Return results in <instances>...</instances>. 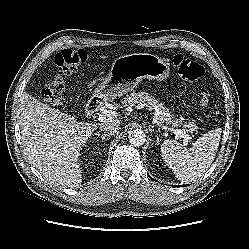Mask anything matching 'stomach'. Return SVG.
I'll list each match as a JSON object with an SVG mask.
<instances>
[{
	"label": "stomach",
	"instance_id": "obj_1",
	"mask_svg": "<svg viewBox=\"0 0 249 249\" xmlns=\"http://www.w3.org/2000/svg\"><path fill=\"white\" fill-rule=\"evenodd\" d=\"M166 59L149 53H134L117 58L107 78L96 87L95 96L109 100L120 97L138 86L142 79L163 81L169 77Z\"/></svg>",
	"mask_w": 249,
	"mask_h": 249
}]
</instances>
